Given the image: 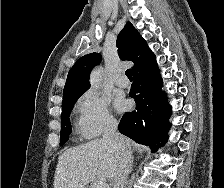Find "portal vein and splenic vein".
Listing matches in <instances>:
<instances>
[{
  "label": "portal vein and splenic vein",
  "instance_id": "1",
  "mask_svg": "<svg viewBox=\"0 0 224 188\" xmlns=\"http://www.w3.org/2000/svg\"><path fill=\"white\" fill-rule=\"evenodd\" d=\"M93 188H108V185L104 181H97L93 184Z\"/></svg>",
  "mask_w": 224,
  "mask_h": 188
}]
</instances>
